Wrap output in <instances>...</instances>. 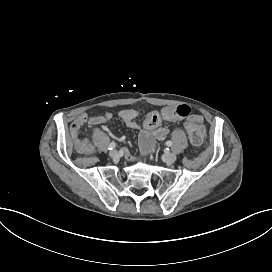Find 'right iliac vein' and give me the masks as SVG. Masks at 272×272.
Listing matches in <instances>:
<instances>
[{"label":"right iliac vein","mask_w":272,"mask_h":272,"mask_svg":"<svg viewBox=\"0 0 272 272\" xmlns=\"http://www.w3.org/2000/svg\"><path fill=\"white\" fill-rule=\"evenodd\" d=\"M109 156H110L111 158L117 157V156H118V151H117V150H112V151H110Z\"/></svg>","instance_id":"63e3f726"}]
</instances>
